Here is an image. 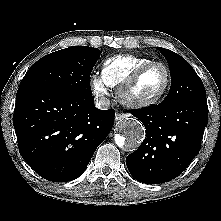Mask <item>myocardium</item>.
I'll return each mask as SVG.
<instances>
[{
  "label": "myocardium",
  "mask_w": 221,
  "mask_h": 221,
  "mask_svg": "<svg viewBox=\"0 0 221 221\" xmlns=\"http://www.w3.org/2000/svg\"><path fill=\"white\" fill-rule=\"evenodd\" d=\"M160 66L164 69L166 74L165 83L162 89L156 94L143 99H137L131 96V91L138 83L140 78L152 67ZM171 85V72L169 67L159 61L149 62L139 67L127 80H125L118 88V99L121 104L129 108H146L159 102L167 93Z\"/></svg>",
  "instance_id": "myocardium-1"
}]
</instances>
